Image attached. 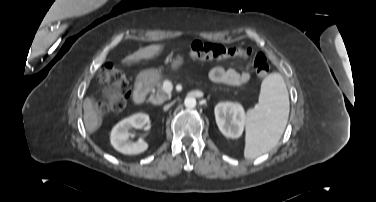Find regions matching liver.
<instances>
[{"label":"liver","mask_w":376,"mask_h":202,"mask_svg":"<svg viewBox=\"0 0 376 202\" xmlns=\"http://www.w3.org/2000/svg\"><path fill=\"white\" fill-rule=\"evenodd\" d=\"M163 48V45H149L144 48H140L136 52L130 54L129 56L125 57L121 62L122 64H131L137 63L141 60H148L152 59L153 57L157 56L158 53ZM83 109H84V124L85 128L88 133L95 132L102 124V117L97 112L96 107L93 101L90 98H86L83 102Z\"/></svg>","instance_id":"6515ba94"}]
</instances>
